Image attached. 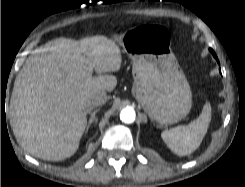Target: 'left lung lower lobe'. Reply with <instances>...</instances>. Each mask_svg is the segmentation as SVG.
<instances>
[{
  "mask_svg": "<svg viewBox=\"0 0 245 187\" xmlns=\"http://www.w3.org/2000/svg\"><path fill=\"white\" fill-rule=\"evenodd\" d=\"M209 50L212 53V55L215 57V59L217 60V62L219 63L218 58H217L215 52L211 48Z\"/></svg>",
  "mask_w": 245,
  "mask_h": 187,
  "instance_id": "obj_1",
  "label": "left lung lower lobe"
}]
</instances>
